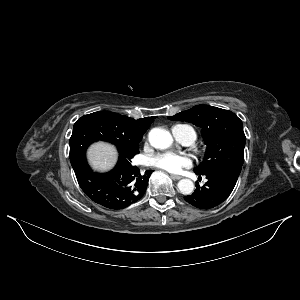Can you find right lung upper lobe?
I'll use <instances>...</instances> for the list:
<instances>
[{
  "label": "right lung upper lobe",
  "mask_w": 300,
  "mask_h": 300,
  "mask_svg": "<svg viewBox=\"0 0 300 300\" xmlns=\"http://www.w3.org/2000/svg\"><path fill=\"white\" fill-rule=\"evenodd\" d=\"M96 113L110 124L113 132L118 137L130 143L140 141L155 119V117H145L135 120L110 111H99Z\"/></svg>",
  "instance_id": "cb5924a9"
}]
</instances>
